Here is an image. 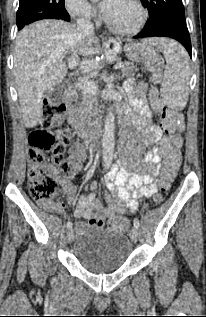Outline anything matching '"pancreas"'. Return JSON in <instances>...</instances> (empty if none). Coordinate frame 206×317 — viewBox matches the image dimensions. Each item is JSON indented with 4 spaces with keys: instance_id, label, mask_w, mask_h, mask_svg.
<instances>
[{
    "instance_id": "pancreas-1",
    "label": "pancreas",
    "mask_w": 206,
    "mask_h": 317,
    "mask_svg": "<svg viewBox=\"0 0 206 317\" xmlns=\"http://www.w3.org/2000/svg\"><path fill=\"white\" fill-rule=\"evenodd\" d=\"M120 70L123 77L133 76L134 73L137 71V65H134V62L125 61L123 63V67ZM95 103H96L95 96L83 93L82 102H81V105L79 106L81 115H84L85 113L89 112Z\"/></svg>"
}]
</instances>
